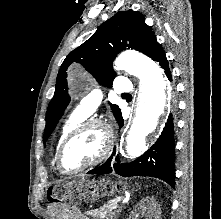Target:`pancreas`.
I'll return each instance as SVG.
<instances>
[{
  "label": "pancreas",
  "mask_w": 221,
  "mask_h": 219,
  "mask_svg": "<svg viewBox=\"0 0 221 219\" xmlns=\"http://www.w3.org/2000/svg\"><path fill=\"white\" fill-rule=\"evenodd\" d=\"M115 204V200H110L99 209L87 211V214L96 219H113L116 214V211L113 210Z\"/></svg>",
  "instance_id": "1"
}]
</instances>
